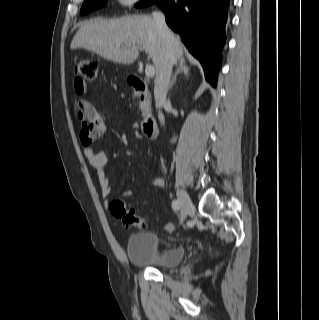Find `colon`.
Instances as JSON below:
<instances>
[{
	"instance_id": "1",
	"label": "colon",
	"mask_w": 319,
	"mask_h": 320,
	"mask_svg": "<svg viewBox=\"0 0 319 320\" xmlns=\"http://www.w3.org/2000/svg\"><path fill=\"white\" fill-rule=\"evenodd\" d=\"M98 77V65L94 60H82L76 66L75 82L79 85H84L86 82H93ZM80 122V139L84 145H90L95 140L90 124L85 117L78 114ZM109 209L111 213L122 220V223L128 227L146 228L147 221L144 217L139 216L133 209L127 207L123 200H114L110 203ZM167 232L175 231V226L167 223L164 226Z\"/></svg>"
}]
</instances>
